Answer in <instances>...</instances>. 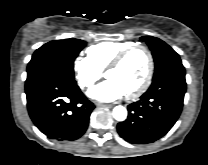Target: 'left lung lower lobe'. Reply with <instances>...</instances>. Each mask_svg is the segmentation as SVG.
Masks as SVG:
<instances>
[{
    "mask_svg": "<svg viewBox=\"0 0 208 165\" xmlns=\"http://www.w3.org/2000/svg\"><path fill=\"white\" fill-rule=\"evenodd\" d=\"M185 92L184 68L172 69L153 78L140 100L128 105V118L117 125L119 135L134 144L160 139L179 118Z\"/></svg>",
    "mask_w": 208,
    "mask_h": 165,
    "instance_id": "obj_1",
    "label": "left lung lower lobe"
}]
</instances>
